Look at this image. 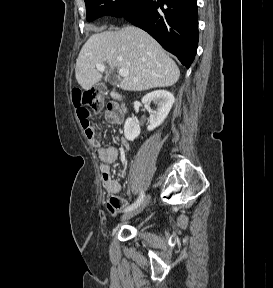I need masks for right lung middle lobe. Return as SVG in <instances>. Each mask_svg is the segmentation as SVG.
<instances>
[{"label":"right lung middle lobe","mask_w":273,"mask_h":288,"mask_svg":"<svg viewBox=\"0 0 273 288\" xmlns=\"http://www.w3.org/2000/svg\"><path fill=\"white\" fill-rule=\"evenodd\" d=\"M87 9V21L109 15L122 17L136 4L137 0H84Z\"/></svg>","instance_id":"obj_1"}]
</instances>
